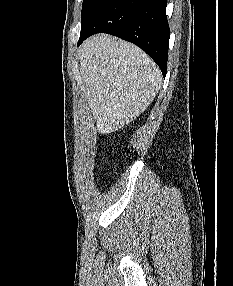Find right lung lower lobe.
Returning a JSON list of instances; mask_svg holds the SVG:
<instances>
[{"instance_id": "right-lung-lower-lobe-1", "label": "right lung lower lobe", "mask_w": 233, "mask_h": 286, "mask_svg": "<svg viewBox=\"0 0 233 286\" xmlns=\"http://www.w3.org/2000/svg\"><path fill=\"white\" fill-rule=\"evenodd\" d=\"M167 0H99L82 21L78 46L89 36L108 33L144 50L166 75L170 29Z\"/></svg>"}]
</instances>
